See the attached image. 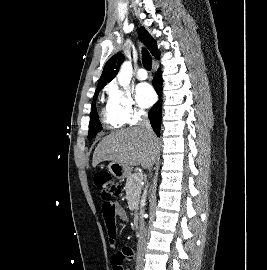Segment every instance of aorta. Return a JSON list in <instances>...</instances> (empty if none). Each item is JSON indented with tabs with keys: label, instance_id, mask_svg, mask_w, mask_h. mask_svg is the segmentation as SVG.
Returning <instances> with one entry per match:
<instances>
[{
	"label": "aorta",
	"instance_id": "obj_1",
	"mask_svg": "<svg viewBox=\"0 0 267 270\" xmlns=\"http://www.w3.org/2000/svg\"><path fill=\"white\" fill-rule=\"evenodd\" d=\"M132 64L130 62H124L120 68V72L118 74V81L121 86L127 85L132 78Z\"/></svg>",
	"mask_w": 267,
	"mask_h": 270
}]
</instances>
